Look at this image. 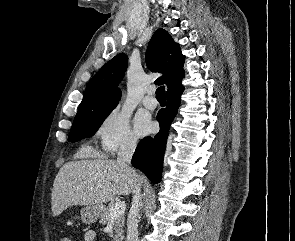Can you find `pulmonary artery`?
Listing matches in <instances>:
<instances>
[{"label":"pulmonary artery","mask_w":295,"mask_h":241,"mask_svg":"<svg viewBox=\"0 0 295 241\" xmlns=\"http://www.w3.org/2000/svg\"><path fill=\"white\" fill-rule=\"evenodd\" d=\"M154 90L153 89H148L146 92V95L142 99V104L150 110H153L157 106V101L153 97Z\"/></svg>","instance_id":"obj_1"}]
</instances>
